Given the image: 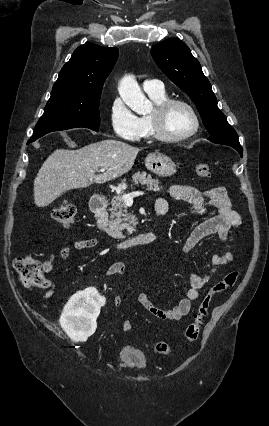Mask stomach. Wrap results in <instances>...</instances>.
Here are the masks:
<instances>
[{
  "label": "stomach",
  "mask_w": 269,
  "mask_h": 426,
  "mask_svg": "<svg viewBox=\"0 0 269 426\" xmlns=\"http://www.w3.org/2000/svg\"><path fill=\"white\" fill-rule=\"evenodd\" d=\"M147 169L160 177H169L176 172V165L166 155L153 153L145 159Z\"/></svg>",
  "instance_id": "1"
}]
</instances>
